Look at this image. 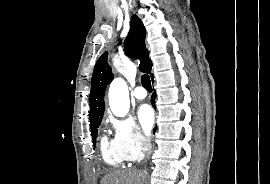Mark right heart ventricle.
Instances as JSON below:
<instances>
[{
	"mask_svg": "<svg viewBox=\"0 0 270 184\" xmlns=\"http://www.w3.org/2000/svg\"><path fill=\"white\" fill-rule=\"evenodd\" d=\"M101 153L104 161L110 166L118 167L127 161L117 149L114 141H109L106 137L101 139Z\"/></svg>",
	"mask_w": 270,
	"mask_h": 184,
	"instance_id": "1",
	"label": "right heart ventricle"
}]
</instances>
